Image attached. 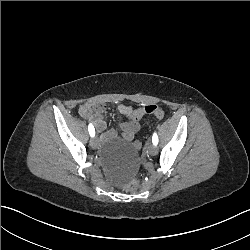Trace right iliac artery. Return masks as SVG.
Returning <instances> with one entry per match:
<instances>
[{
  "mask_svg": "<svg viewBox=\"0 0 250 250\" xmlns=\"http://www.w3.org/2000/svg\"><path fill=\"white\" fill-rule=\"evenodd\" d=\"M88 131H89V134L91 137L95 136V129H94V126L92 124H89Z\"/></svg>",
  "mask_w": 250,
  "mask_h": 250,
  "instance_id": "right-iliac-artery-1",
  "label": "right iliac artery"
}]
</instances>
